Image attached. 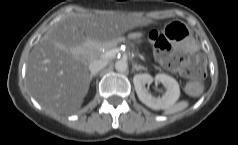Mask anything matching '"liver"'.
Returning <instances> with one entry per match:
<instances>
[{
    "label": "liver",
    "instance_id": "6515ba94",
    "mask_svg": "<svg viewBox=\"0 0 238 145\" xmlns=\"http://www.w3.org/2000/svg\"><path fill=\"white\" fill-rule=\"evenodd\" d=\"M151 23L136 14L113 11L72 14L61 19L30 52L26 76L32 95L51 112L74 113L81 107L90 84V49L85 43L90 39L109 42Z\"/></svg>",
    "mask_w": 238,
    "mask_h": 145
}]
</instances>
